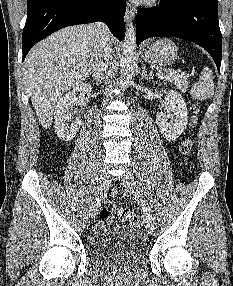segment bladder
<instances>
[{"mask_svg":"<svg viewBox=\"0 0 233 286\" xmlns=\"http://www.w3.org/2000/svg\"><path fill=\"white\" fill-rule=\"evenodd\" d=\"M91 260L108 268H135L145 262L149 243L135 227L114 218H102L87 242Z\"/></svg>","mask_w":233,"mask_h":286,"instance_id":"31cf9c89","label":"bladder"}]
</instances>
